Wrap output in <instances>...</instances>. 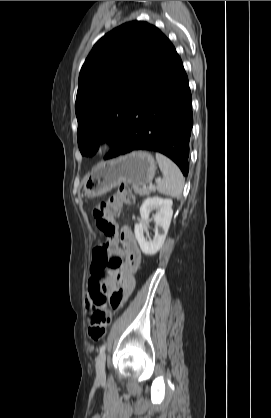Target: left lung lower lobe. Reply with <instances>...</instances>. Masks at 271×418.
<instances>
[{
    "mask_svg": "<svg viewBox=\"0 0 271 418\" xmlns=\"http://www.w3.org/2000/svg\"><path fill=\"white\" fill-rule=\"evenodd\" d=\"M192 127L188 77L172 46L165 62L140 94L131 116L104 159L134 150L156 151L172 159L187 176Z\"/></svg>",
    "mask_w": 271,
    "mask_h": 418,
    "instance_id": "1",
    "label": "left lung lower lobe"
}]
</instances>
